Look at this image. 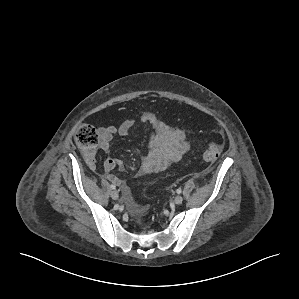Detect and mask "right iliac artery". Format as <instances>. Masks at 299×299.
Returning a JSON list of instances; mask_svg holds the SVG:
<instances>
[{"label": "right iliac artery", "instance_id": "obj_1", "mask_svg": "<svg viewBox=\"0 0 299 299\" xmlns=\"http://www.w3.org/2000/svg\"><path fill=\"white\" fill-rule=\"evenodd\" d=\"M110 188L114 190V189H116V186L113 185V184H111V185H110Z\"/></svg>", "mask_w": 299, "mask_h": 299}]
</instances>
